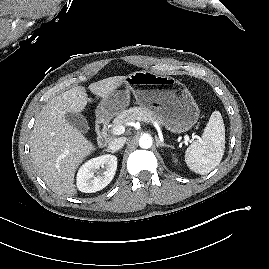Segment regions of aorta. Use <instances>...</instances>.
Segmentation results:
<instances>
[{"label": "aorta", "instance_id": "762f6f07", "mask_svg": "<svg viewBox=\"0 0 269 269\" xmlns=\"http://www.w3.org/2000/svg\"><path fill=\"white\" fill-rule=\"evenodd\" d=\"M152 137L150 135H142L139 139V146L148 149L152 146Z\"/></svg>", "mask_w": 269, "mask_h": 269}]
</instances>
